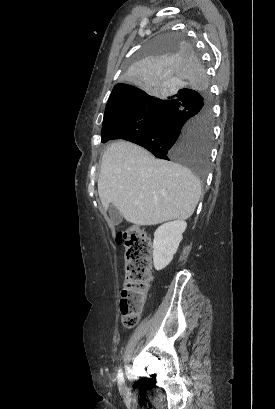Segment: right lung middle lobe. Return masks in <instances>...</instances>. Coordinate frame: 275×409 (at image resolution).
<instances>
[{
	"label": "right lung middle lobe",
	"mask_w": 275,
	"mask_h": 409,
	"mask_svg": "<svg viewBox=\"0 0 275 409\" xmlns=\"http://www.w3.org/2000/svg\"><path fill=\"white\" fill-rule=\"evenodd\" d=\"M142 48L128 57L123 84L146 92L105 111L101 142L131 141L171 164L192 167L205 182L211 165L212 119L200 56L180 34L144 42Z\"/></svg>",
	"instance_id": "right-lung-middle-lobe-1"
}]
</instances>
